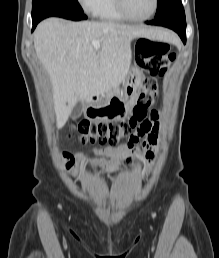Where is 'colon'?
<instances>
[{
	"mask_svg": "<svg viewBox=\"0 0 219 258\" xmlns=\"http://www.w3.org/2000/svg\"><path fill=\"white\" fill-rule=\"evenodd\" d=\"M138 62L151 77L142 84V90L133 108L132 116L124 122L81 121L75 130L83 142L116 146L121 140L131 138L133 131L145 121L158 94L157 76H163L176 55L167 43L142 38L137 44Z\"/></svg>",
	"mask_w": 219,
	"mask_h": 258,
	"instance_id": "5ec220e1",
	"label": "colon"
}]
</instances>
